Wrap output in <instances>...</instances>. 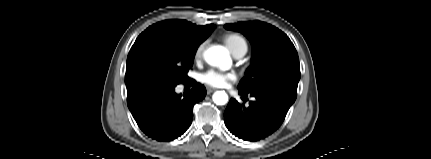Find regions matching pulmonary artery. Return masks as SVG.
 I'll return each instance as SVG.
<instances>
[{"instance_id": "obj_1", "label": "pulmonary artery", "mask_w": 431, "mask_h": 159, "mask_svg": "<svg viewBox=\"0 0 431 159\" xmlns=\"http://www.w3.org/2000/svg\"><path fill=\"white\" fill-rule=\"evenodd\" d=\"M245 53H246V50H240L237 53H235L234 56L239 59V58H242L245 55Z\"/></svg>"}]
</instances>
